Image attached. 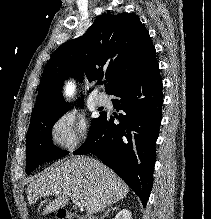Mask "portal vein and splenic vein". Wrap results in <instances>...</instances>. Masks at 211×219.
Wrapping results in <instances>:
<instances>
[{"mask_svg":"<svg viewBox=\"0 0 211 219\" xmlns=\"http://www.w3.org/2000/svg\"><path fill=\"white\" fill-rule=\"evenodd\" d=\"M71 200L78 207H84L85 206L83 201L81 200V198H79L78 195H71Z\"/></svg>","mask_w":211,"mask_h":219,"instance_id":"portal-vein-and-splenic-vein-1","label":"portal vein and splenic vein"}]
</instances>
